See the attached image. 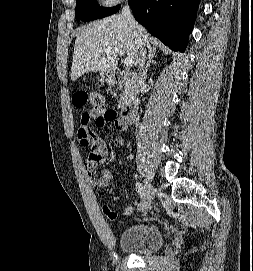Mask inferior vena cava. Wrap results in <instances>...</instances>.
Wrapping results in <instances>:
<instances>
[{"label": "inferior vena cava", "instance_id": "1", "mask_svg": "<svg viewBox=\"0 0 253 271\" xmlns=\"http://www.w3.org/2000/svg\"><path fill=\"white\" fill-rule=\"evenodd\" d=\"M122 16L127 19V21L130 24V27L134 30V32L137 35L142 34V28L141 26L135 21L131 9L128 5L124 6L122 9ZM146 59V52L141 44V50L140 53L137 57V62H138V74H137V92L141 91L142 88L144 87V63Z\"/></svg>", "mask_w": 253, "mask_h": 271}]
</instances>
